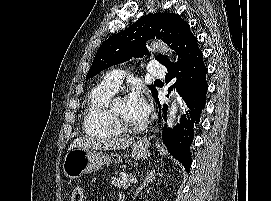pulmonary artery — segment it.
Masks as SVG:
<instances>
[{
    "instance_id": "e3ab8cb5",
    "label": "pulmonary artery",
    "mask_w": 271,
    "mask_h": 201,
    "mask_svg": "<svg viewBox=\"0 0 271 201\" xmlns=\"http://www.w3.org/2000/svg\"><path fill=\"white\" fill-rule=\"evenodd\" d=\"M147 69L151 75L156 77H163L166 73L164 66L160 63V61L155 59L149 60ZM125 75L126 72L120 69L109 71L103 76L101 84L113 90H117L119 89Z\"/></svg>"
}]
</instances>
